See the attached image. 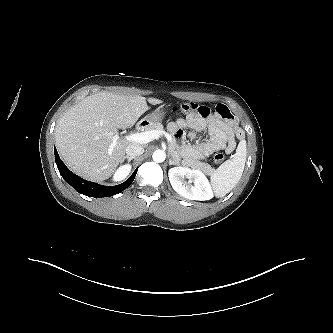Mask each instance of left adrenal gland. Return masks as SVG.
I'll return each mask as SVG.
<instances>
[{
  "instance_id": "a2214340",
  "label": "left adrenal gland",
  "mask_w": 333,
  "mask_h": 333,
  "mask_svg": "<svg viewBox=\"0 0 333 333\" xmlns=\"http://www.w3.org/2000/svg\"><path fill=\"white\" fill-rule=\"evenodd\" d=\"M169 165H180V163L174 155H171V158L169 159Z\"/></svg>"
}]
</instances>
